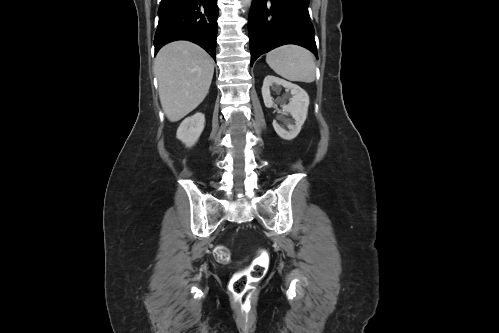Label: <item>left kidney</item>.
<instances>
[{
  "label": "left kidney",
  "instance_id": "1",
  "mask_svg": "<svg viewBox=\"0 0 499 333\" xmlns=\"http://www.w3.org/2000/svg\"><path fill=\"white\" fill-rule=\"evenodd\" d=\"M273 84L281 85L287 90H290L292 98L287 105L282 106V114H290L294 122L288 121L284 125L278 124L276 120L273 121L275 132L285 140L294 139L301 131L304 124L309 106V96L301 87L291 82L285 81L278 77L268 75L265 77L262 86V96L266 107L271 108L274 106L273 98L270 95V87Z\"/></svg>",
  "mask_w": 499,
  "mask_h": 333
}]
</instances>
